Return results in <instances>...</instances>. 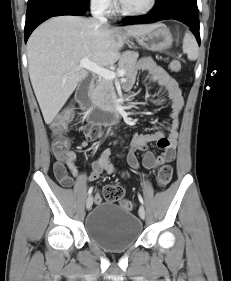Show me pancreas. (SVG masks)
<instances>
[{
	"label": "pancreas",
	"mask_w": 231,
	"mask_h": 281,
	"mask_svg": "<svg viewBox=\"0 0 231 281\" xmlns=\"http://www.w3.org/2000/svg\"><path fill=\"white\" fill-rule=\"evenodd\" d=\"M139 54L134 51H125L119 60L118 70H125V77L135 74V66ZM114 85L112 80L101 78L97 81L95 87L91 91V99L99 108L112 111L114 110L113 101Z\"/></svg>",
	"instance_id": "obj_1"
}]
</instances>
